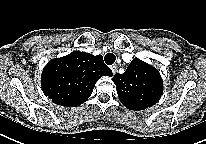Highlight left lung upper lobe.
<instances>
[{
  "label": "left lung upper lobe",
  "instance_id": "obj_1",
  "mask_svg": "<svg viewBox=\"0 0 206 144\" xmlns=\"http://www.w3.org/2000/svg\"><path fill=\"white\" fill-rule=\"evenodd\" d=\"M121 103L130 110H144L155 105L163 93L158 70L134 58L123 74L113 77Z\"/></svg>",
  "mask_w": 206,
  "mask_h": 144
}]
</instances>
